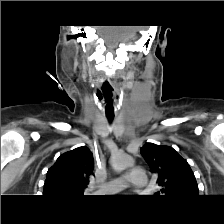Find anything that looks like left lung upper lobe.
Listing matches in <instances>:
<instances>
[{
    "label": "left lung upper lobe",
    "mask_w": 224,
    "mask_h": 224,
    "mask_svg": "<svg viewBox=\"0 0 224 224\" xmlns=\"http://www.w3.org/2000/svg\"><path fill=\"white\" fill-rule=\"evenodd\" d=\"M141 155L157 173L160 192L168 198L197 197L198 185L189 164L172 147L146 143Z\"/></svg>",
    "instance_id": "1"
}]
</instances>
